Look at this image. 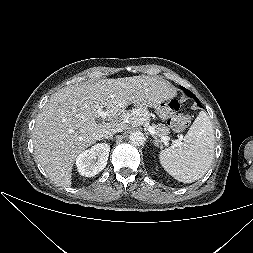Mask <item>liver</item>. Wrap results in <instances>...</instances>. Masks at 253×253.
<instances>
[{
	"mask_svg": "<svg viewBox=\"0 0 253 253\" xmlns=\"http://www.w3.org/2000/svg\"><path fill=\"white\" fill-rule=\"evenodd\" d=\"M176 95L177 90L168 81L150 76L62 88L51 95L36 118L35 157L56 185L70 187L74 161L83 150L101 140L106 131L142 125L149 115L147 106L156 107ZM131 104L136 107L126 110ZM99 108L106 113L102 122L96 121Z\"/></svg>",
	"mask_w": 253,
	"mask_h": 253,
	"instance_id": "obj_1",
	"label": "liver"
}]
</instances>
